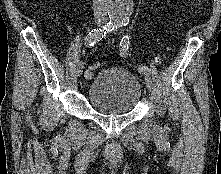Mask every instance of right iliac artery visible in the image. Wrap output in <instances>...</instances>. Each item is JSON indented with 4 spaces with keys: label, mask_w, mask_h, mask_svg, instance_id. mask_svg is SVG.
Here are the masks:
<instances>
[{
    "label": "right iliac artery",
    "mask_w": 221,
    "mask_h": 174,
    "mask_svg": "<svg viewBox=\"0 0 221 174\" xmlns=\"http://www.w3.org/2000/svg\"><path fill=\"white\" fill-rule=\"evenodd\" d=\"M115 26V21L110 20L106 25L99 29H94L92 30L86 37V45L88 47L93 46L97 42H99L107 32L112 31ZM93 74L90 69H87L85 71L84 77L87 80H90L92 78Z\"/></svg>",
    "instance_id": "82829eb1"
}]
</instances>
